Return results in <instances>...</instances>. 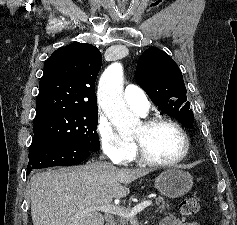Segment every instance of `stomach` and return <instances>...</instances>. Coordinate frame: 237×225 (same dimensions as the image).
<instances>
[{"instance_id": "0dacf381", "label": "stomach", "mask_w": 237, "mask_h": 225, "mask_svg": "<svg viewBox=\"0 0 237 225\" xmlns=\"http://www.w3.org/2000/svg\"><path fill=\"white\" fill-rule=\"evenodd\" d=\"M193 186V177L179 168H169L155 179V187L167 198H179Z\"/></svg>"}]
</instances>
